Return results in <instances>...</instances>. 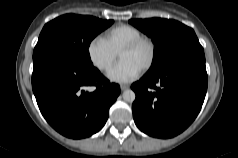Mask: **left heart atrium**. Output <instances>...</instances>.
Masks as SVG:
<instances>
[{"label": "left heart atrium", "mask_w": 238, "mask_h": 158, "mask_svg": "<svg viewBox=\"0 0 238 158\" xmlns=\"http://www.w3.org/2000/svg\"><path fill=\"white\" fill-rule=\"evenodd\" d=\"M141 68L130 61L121 60L108 72V78L114 82L125 83L135 79Z\"/></svg>", "instance_id": "1"}]
</instances>
